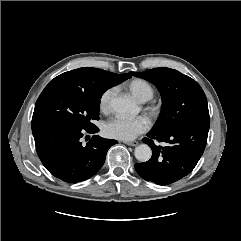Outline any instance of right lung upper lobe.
<instances>
[{
	"label": "right lung upper lobe",
	"mask_w": 241,
	"mask_h": 241,
	"mask_svg": "<svg viewBox=\"0 0 241 241\" xmlns=\"http://www.w3.org/2000/svg\"><path fill=\"white\" fill-rule=\"evenodd\" d=\"M130 77V74H115L102 69L84 67L62 73L50 83H64L84 90H92L101 85L115 86Z\"/></svg>",
	"instance_id": "cb5924a9"
}]
</instances>
